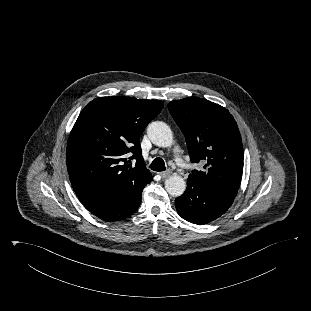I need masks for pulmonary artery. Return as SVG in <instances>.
<instances>
[{"label":"pulmonary artery","mask_w":311,"mask_h":311,"mask_svg":"<svg viewBox=\"0 0 311 311\" xmlns=\"http://www.w3.org/2000/svg\"><path fill=\"white\" fill-rule=\"evenodd\" d=\"M174 157H175V161H176V163H177L178 165L184 166L183 160H182L181 155H180V150H179L178 147H176V148L174 149Z\"/></svg>","instance_id":"obj_1"}]
</instances>
